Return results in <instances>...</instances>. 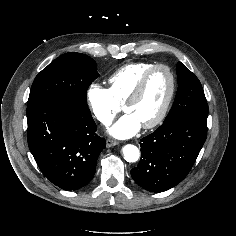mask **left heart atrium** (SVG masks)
Returning a JSON list of instances; mask_svg holds the SVG:
<instances>
[{"label":"left heart atrium","instance_id":"left-heart-atrium-1","mask_svg":"<svg viewBox=\"0 0 236 236\" xmlns=\"http://www.w3.org/2000/svg\"><path fill=\"white\" fill-rule=\"evenodd\" d=\"M141 126L140 120L134 114L126 113L109 129V134L118 139H127L134 136Z\"/></svg>","mask_w":236,"mask_h":236}]
</instances>
